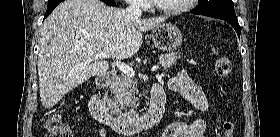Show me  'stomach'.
<instances>
[{
	"instance_id": "stomach-1",
	"label": "stomach",
	"mask_w": 280,
	"mask_h": 137,
	"mask_svg": "<svg viewBox=\"0 0 280 137\" xmlns=\"http://www.w3.org/2000/svg\"><path fill=\"white\" fill-rule=\"evenodd\" d=\"M156 48L163 52H172L182 44V33L172 23H161L153 28L150 35Z\"/></svg>"
}]
</instances>
